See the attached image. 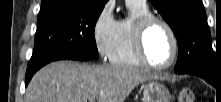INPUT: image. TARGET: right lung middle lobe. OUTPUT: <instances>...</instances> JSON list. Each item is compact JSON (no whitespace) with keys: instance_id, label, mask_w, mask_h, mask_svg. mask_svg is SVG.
<instances>
[{"instance_id":"1","label":"right lung middle lobe","mask_w":221,"mask_h":102,"mask_svg":"<svg viewBox=\"0 0 221 102\" xmlns=\"http://www.w3.org/2000/svg\"><path fill=\"white\" fill-rule=\"evenodd\" d=\"M103 8L91 6L86 1L41 8L37 18L34 51L27 71L66 53L98 58L94 30Z\"/></svg>"}]
</instances>
